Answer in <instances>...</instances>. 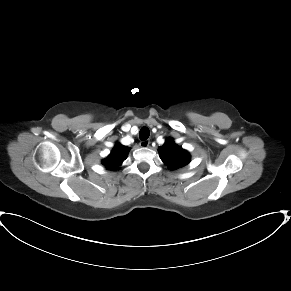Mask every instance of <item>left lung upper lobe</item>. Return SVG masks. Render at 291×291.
<instances>
[{
    "label": "left lung upper lobe",
    "mask_w": 291,
    "mask_h": 291,
    "mask_svg": "<svg viewBox=\"0 0 291 291\" xmlns=\"http://www.w3.org/2000/svg\"><path fill=\"white\" fill-rule=\"evenodd\" d=\"M161 160L170 170H175L187 165L190 161L189 153L177 146L173 139H167L163 146L159 147Z\"/></svg>",
    "instance_id": "5c2ea615"
}]
</instances>
